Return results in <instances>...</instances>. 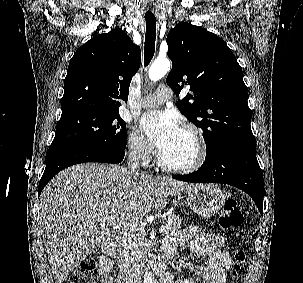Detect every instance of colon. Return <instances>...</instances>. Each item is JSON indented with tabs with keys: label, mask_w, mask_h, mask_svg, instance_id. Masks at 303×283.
<instances>
[{
	"label": "colon",
	"mask_w": 303,
	"mask_h": 283,
	"mask_svg": "<svg viewBox=\"0 0 303 283\" xmlns=\"http://www.w3.org/2000/svg\"><path fill=\"white\" fill-rule=\"evenodd\" d=\"M220 226L224 229L242 231L244 228V219L240 211L239 203L235 199L225 201L219 217ZM246 263V254L238 251L235 254V263L233 267V277L237 279ZM97 272V261L94 257H89L81 263L74 274L67 278L64 283H93ZM235 283V282H232Z\"/></svg>",
	"instance_id": "obj_1"
}]
</instances>
